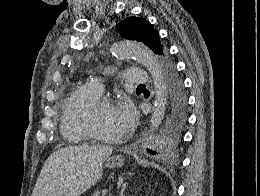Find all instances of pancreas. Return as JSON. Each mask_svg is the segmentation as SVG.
<instances>
[{"instance_id":"cf45deb5","label":"pancreas","mask_w":260,"mask_h":196,"mask_svg":"<svg viewBox=\"0 0 260 196\" xmlns=\"http://www.w3.org/2000/svg\"><path fill=\"white\" fill-rule=\"evenodd\" d=\"M94 196H100V192H95Z\"/></svg>"}]
</instances>
